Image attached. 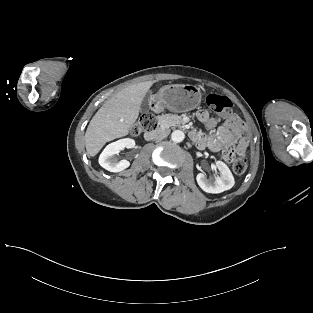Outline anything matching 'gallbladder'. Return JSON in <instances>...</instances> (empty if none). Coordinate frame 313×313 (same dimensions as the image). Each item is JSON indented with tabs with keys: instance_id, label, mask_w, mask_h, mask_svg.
I'll list each match as a JSON object with an SVG mask.
<instances>
[{
	"instance_id": "1",
	"label": "gallbladder",
	"mask_w": 313,
	"mask_h": 313,
	"mask_svg": "<svg viewBox=\"0 0 313 313\" xmlns=\"http://www.w3.org/2000/svg\"><path fill=\"white\" fill-rule=\"evenodd\" d=\"M148 101H149V98L148 96H146L143 100V106L145 109H148Z\"/></svg>"
}]
</instances>
